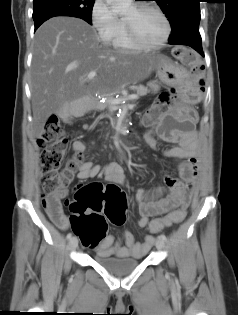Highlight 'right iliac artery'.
I'll use <instances>...</instances> for the list:
<instances>
[{
	"instance_id": "1",
	"label": "right iliac artery",
	"mask_w": 238,
	"mask_h": 315,
	"mask_svg": "<svg viewBox=\"0 0 238 315\" xmlns=\"http://www.w3.org/2000/svg\"><path fill=\"white\" fill-rule=\"evenodd\" d=\"M71 237H72V234H71V233H68V234H67V239L69 240V239H71Z\"/></svg>"
}]
</instances>
